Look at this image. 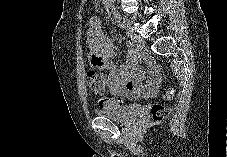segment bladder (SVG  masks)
<instances>
[{"mask_svg":"<svg viewBox=\"0 0 227 157\" xmlns=\"http://www.w3.org/2000/svg\"><path fill=\"white\" fill-rule=\"evenodd\" d=\"M96 115L111 119L122 124L136 121L142 114V106L129 104L118 107L101 108L95 111Z\"/></svg>","mask_w":227,"mask_h":157,"instance_id":"obj_1","label":"bladder"}]
</instances>
